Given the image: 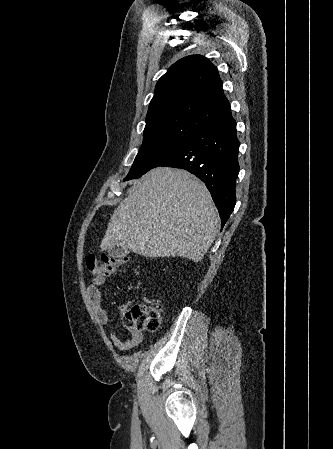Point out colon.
<instances>
[{"label": "colon", "mask_w": 333, "mask_h": 449, "mask_svg": "<svg viewBox=\"0 0 333 449\" xmlns=\"http://www.w3.org/2000/svg\"><path fill=\"white\" fill-rule=\"evenodd\" d=\"M126 257H115L108 254H89L86 265L94 274L110 275L118 270L125 262ZM162 309L159 303L131 302L126 306L124 315L130 325L139 331H154L161 320Z\"/></svg>", "instance_id": "obj_1"}]
</instances>
